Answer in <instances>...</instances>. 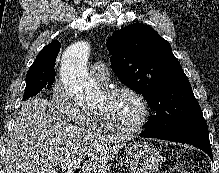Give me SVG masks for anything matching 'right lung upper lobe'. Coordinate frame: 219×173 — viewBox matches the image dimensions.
I'll list each match as a JSON object with an SVG mask.
<instances>
[{"label":"right lung upper lobe","mask_w":219,"mask_h":173,"mask_svg":"<svg viewBox=\"0 0 219 173\" xmlns=\"http://www.w3.org/2000/svg\"><path fill=\"white\" fill-rule=\"evenodd\" d=\"M60 47V42L57 40L52 41L41 50L32 66L39 67L47 73L54 74L55 77V60L60 51Z\"/></svg>","instance_id":"1"}]
</instances>
